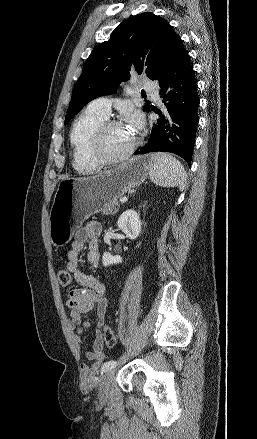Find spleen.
I'll return each instance as SVG.
<instances>
[{
	"label": "spleen",
	"instance_id": "1",
	"mask_svg": "<svg viewBox=\"0 0 257 439\" xmlns=\"http://www.w3.org/2000/svg\"><path fill=\"white\" fill-rule=\"evenodd\" d=\"M151 158L152 167L149 171V177L154 184L184 189L187 174L183 165L175 157L167 153H155L151 155Z\"/></svg>",
	"mask_w": 257,
	"mask_h": 439
}]
</instances>
